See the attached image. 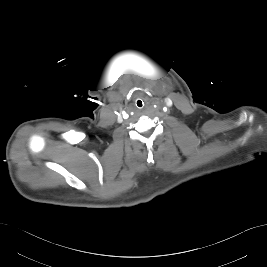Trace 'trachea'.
<instances>
[{"label": "trachea", "instance_id": "trachea-1", "mask_svg": "<svg viewBox=\"0 0 267 267\" xmlns=\"http://www.w3.org/2000/svg\"><path fill=\"white\" fill-rule=\"evenodd\" d=\"M139 107H142V102L140 101V102H138V104H137Z\"/></svg>", "mask_w": 267, "mask_h": 267}]
</instances>
